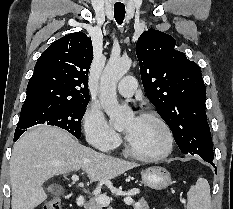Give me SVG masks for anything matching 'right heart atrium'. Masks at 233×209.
Masks as SVG:
<instances>
[{
  "label": "right heart atrium",
  "instance_id": "d8ad5b80",
  "mask_svg": "<svg viewBox=\"0 0 233 209\" xmlns=\"http://www.w3.org/2000/svg\"><path fill=\"white\" fill-rule=\"evenodd\" d=\"M83 128L88 143L101 151H111L119 143V136L109 127L99 106L89 104L83 116Z\"/></svg>",
  "mask_w": 233,
  "mask_h": 209
}]
</instances>
